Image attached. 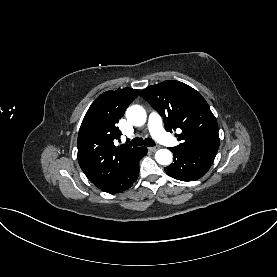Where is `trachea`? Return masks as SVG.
<instances>
[{"label":"trachea","mask_w":277,"mask_h":277,"mask_svg":"<svg viewBox=\"0 0 277 277\" xmlns=\"http://www.w3.org/2000/svg\"><path fill=\"white\" fill-rule=\"evenodd\" d=\"M131 146H141V145H145V146H149V147H153L155 146V142L150 139L147 138L145 140H143L142 138H134L130 143Z\"/></svg>","instance_id":"trachea-1"}]
</instances>
